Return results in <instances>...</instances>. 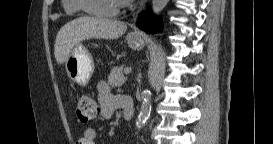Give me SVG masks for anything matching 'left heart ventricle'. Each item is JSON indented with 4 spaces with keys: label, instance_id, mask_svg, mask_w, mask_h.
Returning a JSON list of instances; mask_svg holds the SVG:
<instances>
[{
    "label": "left heart ventricle",
    "instance_id": "left-heart-ventricle-1",
    "mask_svg": "<svg viewBox=\"0 0 273 144\" xmlns=\"http://www.w3.org/2000/svg\"><path fill=\"white\" fill-rule=\"evenodd\" d=\"M91 5L100 10H111L117 7L116 0H93Z\"/></svg>",
    "mask_w": 273,
    "mask_h": 144
}]
</instances>
